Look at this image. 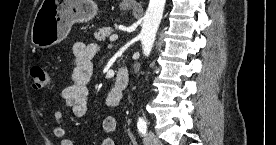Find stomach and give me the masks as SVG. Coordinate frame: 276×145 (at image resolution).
Wrapping results in <instances>:
<instances>
[{"instance_id":"stomach-1","label":"stomach","mask_w":276,"mask_h":145,"mask_svg":"<svg viewBox=\"0 0 276 145\" xmlns=\"http://www.w3.org/2000/svg\"><path fill=\"white\" fill-rule=\"evenodd\" d=\"M97 12L92 0H43L33 21L31 42L39 48L51 47L67 37L74 23L89 21Z\"/></svg>"}]
</instances>
